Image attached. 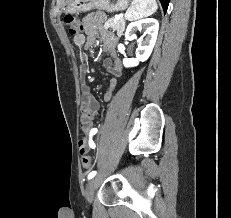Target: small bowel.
I'll return each instance as SVG.
<instances>
[{
    "label": "small bowel",
    "instance_id": "1",
    "mask_svg": "<svg viewBox=\"0 0 231 218\" xmlns=\"http://www.w3.org/2000/svg\"><path fill=\"white\" fill-rule=\"evenodd\" d=\"M104 19L105 14L101 11H95L88 14L83 19V29L85 34L75 36L73 41L76 46L89 49L94 46L98 39H100L103 51L109 55V58L103 61V67L112 75L110 88L103 96V101L108 103L112 100L113 91L117 85L118 78L122 75V65L115 49V36L111 32L99 28ZM88 68L87 61L83 60L80 65L81 127L82 130L89 135L91 128H94V120L99 113L100 104L92 95L86 80ZM88 147V140L83 139L80 141V152H86Z\"/></svg>",
    "mask_w": 231,
    "mask_h": 218
}]
</instances>
